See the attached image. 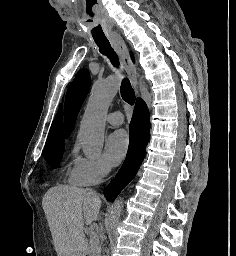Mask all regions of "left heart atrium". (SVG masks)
Returning a JSON list of instances; mask_svg holds the SVG:
<instances>
[{
	"label": "left heart atrium",
	"instance_id": "obj_1",
	"mask_svg": "<svg viewBox=\"0 0 236 256\" xmlns=\"http://www.w3.org/2000/svg\"><path fill=\"white\" fill-rule=\"evenodd\" d=\"M130 146V138L126 131L117 130L108 139L107 155L112 165L120 164Z\"/></svg>",
	"mask_w": 236,
	"mask_h": 256
}]
</instances>
